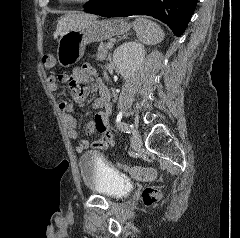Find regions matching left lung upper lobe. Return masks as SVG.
<instances>
[{
  "label": "left lung upper lobe",
  "mask_w": 240,
  "mask_h": 238,
  "mask_svg": "<svg viewBox=\"0 0 240 238\" xmlns=\"http://www.w3.org/2000/svg\"><path fill=\"white\" fill-rule=\"evenodd\" d=\"M100 0H91L89 2H87L84 6L85 9L93 7L94 5H96Z\"/></svg>",
  "instance_id": "left-lung-upper-lobe-1"
}]
</instances>
